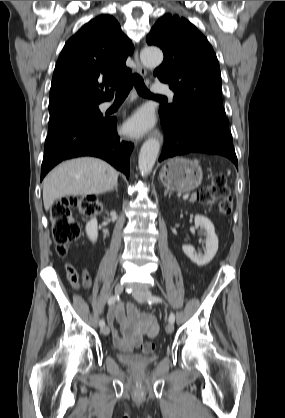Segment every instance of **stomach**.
<instances>
[{
	"instance_id": "obj_1",
	"label": "stomach",
	"mask_w": 285,
	"mask_h": 418,
	"mask_svg": "<svg viewBox=\"0 0 285 418\" xmlns=\"http://www.w3.org/2000/svg\"><path fill=\"white\" fill-rule=\"evenodd\" d=\"M160 179L167 189L188 192L197 188L202 182L201 167L184 158H173L161 169Z\"/></svg>"
}]
</instances>
